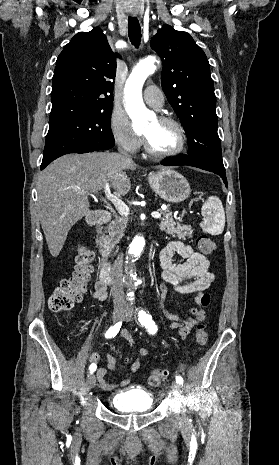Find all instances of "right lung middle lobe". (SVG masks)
I'll use <instances>...</instances> for the list:
<instances>
[{
	"label": "right lung middle lobe",
	"mask_w": 279,
	"mask_h": 465,
	"mask_svg": "<svg viewBox=\"0 0 279 465\" xmlns=\"http://www.w3.org/2000/svg\"><path fill=\"white\" fill-rule=\"evenodd\" d=\"M111 112L109 107L50 124L42 164L85 146L113 147Z\"/></svg>",
	"instance_id": "1"
}]
</instances>
